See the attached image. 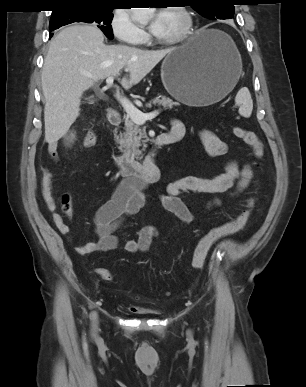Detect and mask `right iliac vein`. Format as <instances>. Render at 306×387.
<instances>
[{
  "label": "right iliac vein",
  "instance_id": "1",
  "mask_svg": "<svg viewBox=\"0 0 306 387\" xmlns=\"http://www.w3.org/2000/svg\"><path fill=\"white\" fill-rule=\"evenodd\" d=\"M91 320H92L93 328L96 329V328H97V325H98V320H97V315H96V313H93V314H92Z\"/></svg>",
  "mask_w": 306,
  "mask_h": 387
}]
</instances>
